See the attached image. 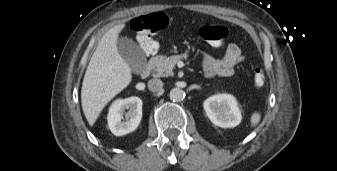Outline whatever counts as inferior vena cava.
I'll use <instances>...</instances> for the list:
<instances>
[{
	"mask_svg": "<svg viewBox=\"0 0 337 171\" xmlns=\"http://www.w3.org/2000/svg\"><path fill=\"white\" fill-rule=\"evenodd\" d=\"M163 82L160 79H151L148 82V88L152 92H159L163 88Z\"/></svg>",
	"mask_w": 337,
	"mask_h": 171,
	"instance_id": "obj_1",
	"label": "inferior vena cava"
}]
</instances>
